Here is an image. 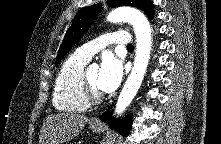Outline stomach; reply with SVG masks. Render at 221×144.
I'll use <instances>...</instances> for the list:
<instances>
[{
	"label": "stomach",
	"mask_w": 221,
	"mask_h": 144,
	"mask_svg": "<svg viewBox=\"0 0 221 144\" xmlns=\"http://www.w3.org/2000/svg\"><path fill=\"white\" fill-rule=\"evenodd\" d=\"M89 127H90L91 131L94 132V133H101L102 130H103V126L102 125L90 124Z\"/></svg>",
	"instance_id": "1"
}]
</instances>
